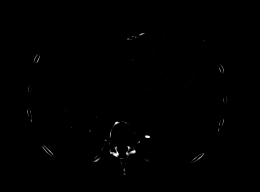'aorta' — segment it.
<instances>
[{
    "mask_svg": "<svg viewBox=\"0 0 260 192\" xmlns=\"http://www.w3.org/2000/svg\"><path fill=\"white\" fill-rule=\"evenodd\" d=\"M156 123L150 117H142L140 119V130L145 137H150L156 132Z\"/></svg>",
    "mask_w": 260,
    "mask_h": 192,
    "instance_id": "aorta-1",
    "label": "aorta"
}]
</instances>
